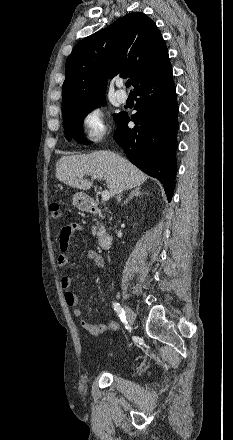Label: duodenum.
Masks as SVG:
<instances>
[{
    "label": "duodenum",
    "mask_w": 233,
    "mask_h": 440,
    "mask_svg": "<svg viewBox=\"0 0 233 440\" xmlns=\"http://www.w3.org/2000/svg\"><path fill=\"white\" fill-rule=\"evenodd\" d=\"M103 210L99 207H95L91 210L92 213L94 214H98L101 213ZM98 241H99V245L101 248L103 249H108L111 246L112 243V237L104 232H100L99 236H98Z\"/></svg>",
    "instance_id": "obj_1"
}]
</instances>
